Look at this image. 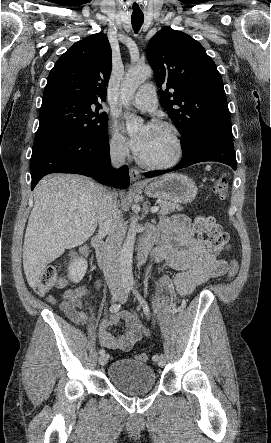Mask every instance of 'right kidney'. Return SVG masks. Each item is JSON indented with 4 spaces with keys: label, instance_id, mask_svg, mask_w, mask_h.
Masks as SVG:
<instances>
[{
    "label": "right kidney",
    "instance_id": "1",
    "mask_svg": "<svg viewBox=\"0 0 271 443\" xmlns=\"http://www.w3.org/2000/svg\"><path fill=\"white\" fill-rule=\"evenodd\" d=\"M87 269V261L84 257H77V259H73L71 263H69L68 267V277L74 283H78L83 279Z\"/></svg>",
    "mask_w": 271,
    "mask_h": 443
}]
</instances>
